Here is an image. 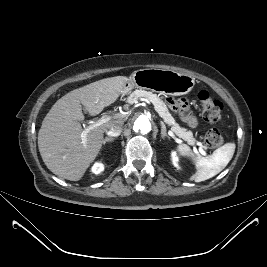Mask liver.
I'll use <instances>...</instances> for the list:
<instances>
[{"label":"liver","mask_w":267,"mask_h":267,"mask_svg":"<svg viewBox=\"0 0 267 267\" xmlns=\"http://www.w3.org/2000/svg\"><path fill=\"white\" fill-rule=\"evenodd\" d=\"M125 76L101 79L67 93L52 106L38 133V147L47 168L60 178L78 181L97 157L104 133L113 125H123L121 114L91 129L82 140V105L97 115L113 104L128 82Z\"/></svg>","instance_id":"liver-1"}]
</instances>
